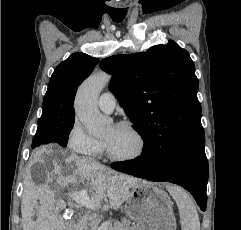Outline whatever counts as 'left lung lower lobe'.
I'll return each instance as SVG.
<instances>
[{"mask_svg": "<svg viewBox=\"0 0 241 230\" xmlns=\"http://www.w3.org/2000/svg\"><path fill=\"white\" fill-rule=\"evenodd\" d=\"M111 167L150 181L178 184L193 195L202 211L206 210L208 161L204 144L169 149L161 141H147L138 158L115 162Z\"/></svg>", "mask_w": 241, "mask_h": 230, "instance_id": "left-lung-lower-lobe-1", "label": "left lung lower lobe"}]
</instances>
